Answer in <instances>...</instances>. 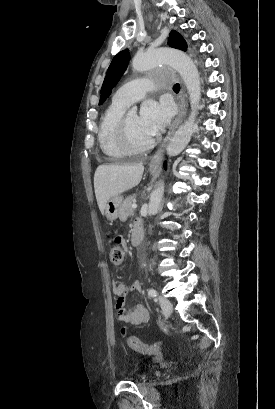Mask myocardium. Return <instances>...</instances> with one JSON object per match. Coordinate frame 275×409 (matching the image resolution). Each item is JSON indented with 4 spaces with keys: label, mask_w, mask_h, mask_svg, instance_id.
Masks as SVG:
<instances>
[{
    "label": "myocardium",
    "mask_w": 275,
    "mask_h": 409,
    "mask_svg": "<svg viewBox=\"0 0 275 409\" xmlns=\"http://www.w3.org/2000/svg\"><path fill=\"white\" fill-rule=\"evenodd\" d=\"M119 137L123 149L129 154H145L149 152L156 144L152 139L144 146H137L133 143L127 123V116L122 117L119 124Z\"/></svg>",
    "instance_id": "1"
}]
</instances>
